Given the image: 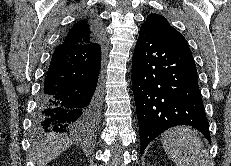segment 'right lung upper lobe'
<instances>
[{
	"mask_svg": "<svg viewBox=\"0 0 231 166\" xmlns=\"http://www.w3.org/2000/svg\"><path fill=\"white\" fill-rule=\"evenodd\" d=\"M96 19L87 17L75 23L63 37L62 44H91L103 38V30L95 26Z\"/></svg>",
	"mask_w": 231,
	"mask_h": 166,
	"instance_id": "right-lung-upper-lobe-1",
	"label": "right lung upper lobe"
}]
</instances>
